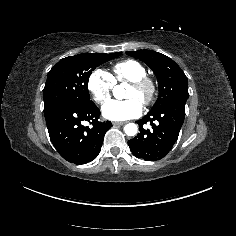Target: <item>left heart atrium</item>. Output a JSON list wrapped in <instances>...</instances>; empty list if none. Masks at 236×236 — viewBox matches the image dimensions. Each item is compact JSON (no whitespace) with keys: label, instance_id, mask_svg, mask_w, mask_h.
<instances>
[{"label":"left heart atrium","instance_id":"obj_1","mask_svg":"<svg viewBox=\"0 0 236 236\" xmlns=\"http://www.w3.org/2000/svg\"><path fill=\"white\" fill-rule=\"evenodd\" d=\"M142 111L143 105L138 100L112 101L103 108V116L112 121H125L140 116Z\"/></svg>","mask_w":236,"mask_h":236}]
</instances>
